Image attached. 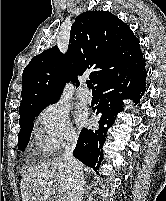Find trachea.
<instances>
[{"mask_svg":"<svg viewBox=\"0 0 166 201\" xmlns=\"http://www.w3.org/2000/svg\"><path fill=\"white\" fill-rule=\"evenodd\" d=\"M87 86L90 88V89H93V85H92V82L90 80L87 81Z\"/></svg>","mask_w":166,"mask_h":201,"instance_id":"3493384b","label":"trachea"}]
</instances>
